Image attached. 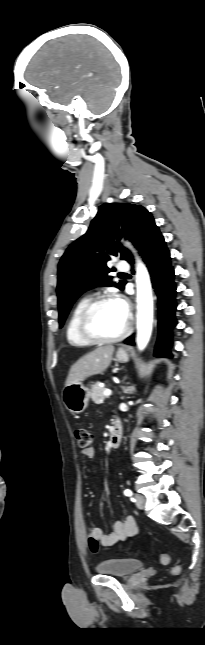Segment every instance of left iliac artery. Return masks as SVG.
I'll use <instances>...</instances> for the list:
<instances>
[{
	"instance_id": "left-iliac-artery-1",
	"label": "left iliac artery",
	"mask_w": 205,
	"mask_h": 645,
	"mask_svg": "<svg viewBox=\"0 0 205 645\" xmlns=\"http://www.w3.org/2000/svg\"><path fill=\"white\" fill-rule=\"evenodd\" d=\"M124 494H125L126 496H132V495H133V492H132L130 489H126V490L124 491Z\"/></svg>"
}]
</instances>
